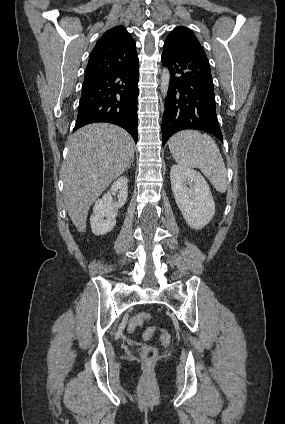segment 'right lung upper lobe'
I'll list each match as a JSON object with an SVG mask.
<instances>
[{
	"mask_svg": "<svg viewBox=\"0 0 285 424\" xmlns=\"http://www.w3.org/2000/svg\"><path fill=\"white\" fill-rule=\"evenodd\" d=\"M137 61L138 55L133 38L124 27H113L97 41L90 54L84 79L128 67Z\"/></svg>",
	"mask_w": 285,
	"mask_h": 424,
	"instance_id": "right-lung-upper-lobe-1",
	"label": "right lung upper lobe"
}]
</instances>
